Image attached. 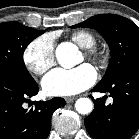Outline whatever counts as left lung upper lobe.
Masks as SVG:
<instances>
[{
  "label": "left lung upper lobe",
  "mask_w": 139,
  "mask_h": 139,
  "mask_svg": "<svg viewBox=\"0 0 139 139\" xmlns=\"http://www.w3.org/2000/svg\"><path fill=\"white\" fill-rule=\"evenodd\" d=\"M96 29L110 48L111 59L99 85L110 83L120 72L139 63V28L129 19L115 14H100L71 28Z\"/></svg>",
  "instance_id": "1"
}]
</instances>
